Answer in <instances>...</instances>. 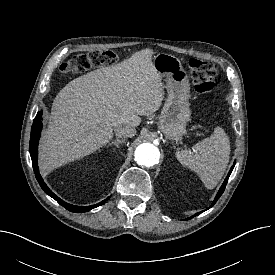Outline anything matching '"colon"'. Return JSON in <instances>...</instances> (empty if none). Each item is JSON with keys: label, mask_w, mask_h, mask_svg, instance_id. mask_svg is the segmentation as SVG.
I'll list each match as a JSON object with an SVG mask.
<instances>
[{"label": "colon", "mask_w": 275, "mask_h": 275, "mask_svg": "<svg viewBox=\"0 0 275 275\" xmlns=\"http://www.w3.org/2000/svg\"><path fill=\"white\" fill-rule=\"evenodd\" d=\"M117 59V55L111 50H100L74 55L64 62L60 70L65 74L85 72L94 68L110 65ZM194 89L199 94H207L216 88L218 81L216 70L212 63L191 58L188 61Z\"/></svg>", "instance_id": "5ec220e1"}]
</instances>
